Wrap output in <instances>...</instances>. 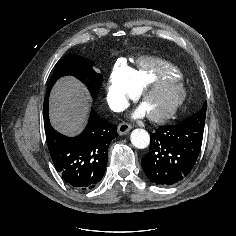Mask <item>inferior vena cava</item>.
<instances>
[{"mask_svg":"<svg viewBox=\"0 0 236 236\" xmlns=\"http://www.w3.org/2000/svg\"><path fill=\"white\" fill-rule=\"evenodd\" d=\"M127 108V106L125 104H123L122 102H117L114 105V111L116 112H120L123 111Z\"/></svg>","mask_w":236,"mask_h":236,"instance_id":"1","label":"inferior vena cava"}]
</instances>
